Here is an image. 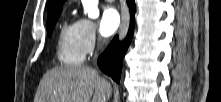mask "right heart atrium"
I'll list each match as a JSON object with an SVG mask.
<instances>
[{"mask_svg": "<svg viewBox=\"0 0 221 102\" xmlns=\"http://www.w3.org/2000/svg\"><path fill=\"white\" fill-rule=\"evenodd\" d=\"M75 30L84 55L94 52L100 41L96 24L90 19L80 18L75 22Z\"/></svg>", "mask_w": 221, "mask_h": 102, "instance_id": "d8ad5b80", "label": "right heart atrium"}]
</instances>
